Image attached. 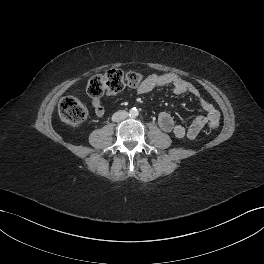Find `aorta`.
Returning <instances> with one entry per match:
<instances>
[{
	"mask_svg": "<svg viewBox=\"0 0 264 264\" xmlns=\"http://www.w3.org/2000/svg\"><path fill=\"white\" fill-rule=\"evenodd\" d=\"M129 115H130V117H137L138 115H139V111H138V109L137 108H132V109H130V111H129Z\"/></svg>",
	"mask_w": 264,
	"mask_h": 264,
	"instance_id": "aorta-1",
	"label": "aorta"
}]
</instances>
